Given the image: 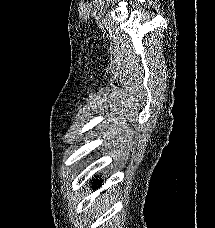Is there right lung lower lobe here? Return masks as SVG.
<instances>
[{"label":"right lung lower lobe","mask_w":215,"mask_h":228,"mask_svg":"<svg viewBox=\"0 0 215 228\" xmlns=\"http://www.w3.org/2000/svg\"><path fill=\"white\" fill-rule=\"evenodd\" d=\"M93 182H94L93 189L99 188L101 186V182L99 180H93Z\"/></svg>","instance_id":"98d812e1"}]
</instances>
